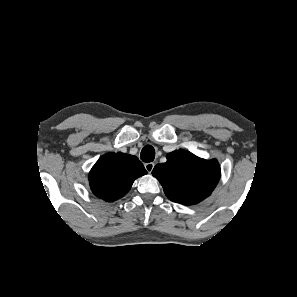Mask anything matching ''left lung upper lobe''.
I'll return each mask as SVG.
<instances>
[{"label":"left lung upper lobe","instance_id":"obj_1","mask_svg":"<svg viewBox=\"0 0 297 297\" xmlns=\"http://www.w3.org/2000/svg\"><path fill=\"white\" fill-rule=\"evenodd\" d=\"M152 175L171 201L192 205L211 194L221 171L217 160L207 161L180 149L169 153L166 163L157 164Z\"/></svg>","mask_w":297,"mask_h":297}]
</instances>
